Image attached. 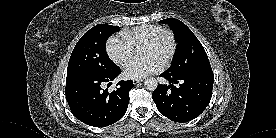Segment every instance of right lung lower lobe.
Masks as SVG:
<instances>
[{
    "mask_svg": "<svg viewBox=\"0 0 276 138\" xmlns=\"http://www.w3.org/2000/svg\"><path fill=\"white\" fill-rule=\"evenodd\" d=\"M120 73L118 67L107 75H89L66 81V99L73 115L94 127L109 126L121 119L128 107L133 82L119 81L113 92L101 88L103 82L111 84Z\"/></svg>",
    "mask_w": 276,
    "mask_h": 138,
    "instance_id": "right-lung-lower-lobe-1",
    "label": "right lung lower lobe"
}]
</instances>
